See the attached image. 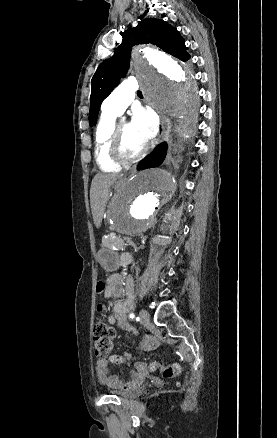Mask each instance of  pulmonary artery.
<instances>
[{
    "mask_svg": "<svg viewBox=\"0 0 277 438\" xmlns=\"http://www.w3.org/2000/svg\"><path fill=\"white\" fill-rule=\"evenodd\" d=\"M120 86L117 88L115 95H107V103L102 106L104 115L112 117L121 115L132 102L138 83L135 81L134 76H125Z\"/></svg>",
    "mask_w": 277,
    "mask_h": 438,
    "instance_id": "e3ab8cb5",
    "label": "pulmonary artery"
}]
</instances>
